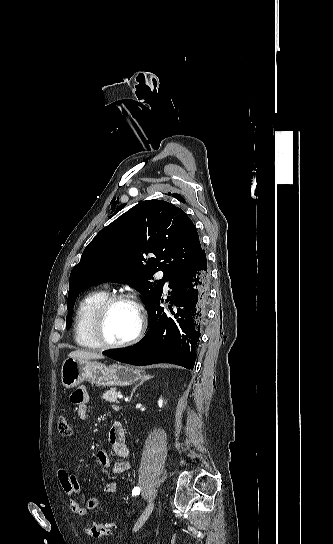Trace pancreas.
Returning <instances> with one entry per match:
<instances>
[{
  "instance_id": "pancreas-1",
  "label": "pancreas",
  "mask_w": 333,
  "mask_h": 544,
  "mask_svg": "<svg viewBox=\"0 0 333 544\" xmlns=\"http://www.w3.org/2000/svg\"><path fill=\"white\" fill-rule=\"evenodd\" d=\"M120 392H117V390L115 388H112L108 391H106L103 396H102V399L108 401V402H111V403H118V397L117 395L119 394Z\"/></svg>"
}]
</instances>
